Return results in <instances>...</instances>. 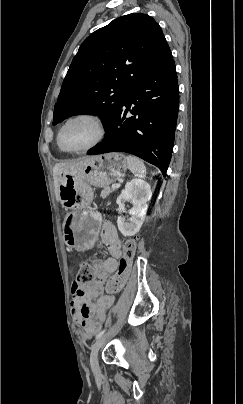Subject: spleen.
Here are the masks:
<instances>
[{
	"mask_svg": "<svg viewBox=\"0 0 243 404\" xmlns=\"http://www.w3.org/2000/svg\"><path fill=\"white\" fill-rule=\"evenodd\" d=\"M126 160L127 166L134 176H138V178H145L146 168L142 160H139V158H133V156H127Z\"/></svg>",
	"mask_w": 243,
	"mask_h": 404,
	"instance_id": "1",
	"label": "spleen"
}]
</instances>
